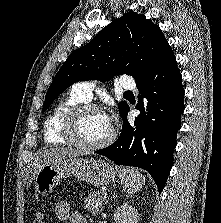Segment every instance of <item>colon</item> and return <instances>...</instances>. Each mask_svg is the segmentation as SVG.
<instances>
[{
	"mask_svg": "<svg viewBox=\"0 0 221 223\" xmlns=\"http://www.w3.org/2000/svg\"><path fill=\"white\" fill-rule=\"evenodd\" d=\"M33 223H49V219L42 212H38L34 216Z\"/></svg>",
	"mask_w": 221,
	"mask_h": 223,
	"instance_id": "1",
	"label": "colon"
}]
</instances>
